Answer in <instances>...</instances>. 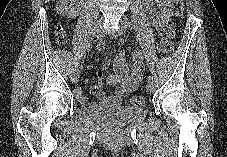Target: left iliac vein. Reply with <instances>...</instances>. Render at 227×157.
I'll use <instances>...</instances> for the list:
<instances>
[{
	"mask_svg": "<svg viewBox=\"0 0 227 157\" xmlns=\"http://www.w3.org/2000/svg\"><path fill=\"white\" fill-rule=\"evenodd\" d=\"M125 23L126 22H122L121 23V27L119 28V31H118L119 34L124 33V31H125ZM146 88H147V91L149 93H153L155 91V84H154V82L153 81L148 82L147 85H146Z\"/></svg>",
	"mask_w": 227,
	"mask_h": 157,
	"instance_id": "left-iliac-vein-1",
	"label": "left iliac vein"
}]
</instances>
